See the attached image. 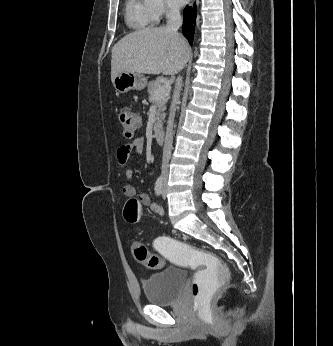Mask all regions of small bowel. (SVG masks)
Listing matches in <instances>:
<instances>
[{
	"instance_id": "1",
	"label": "small bowel",
	"mask_w": 333,
	"mask_h": 346,
	"mask_svg": "<svg viewBox=\"0 0 333 346\" xmlns=\"http://www.w3.org/2000/svg\"><path fill=\"white\" fill-rule=\"evenodd\" d=\"M145 148V141L143 138H136L129 144L121 145L117 150V160L121 165H126L129 156L131 153L135 154H141ZM134 175V170L131 168H128L125 170V177L127 179L132 178ZM123 194L128 197H137L140 201V203L144 206H148L152 212L156 214H162V209L159 205L154 204L151 202V199L148 194L143 192H138L136 187L131 184L127 183L123 186Z\"/></svg>"
}]
</instances>
